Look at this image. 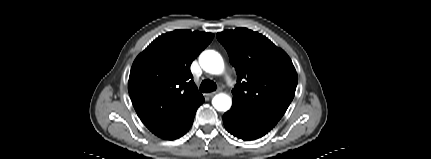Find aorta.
<instances>
[{
  "instance_id": "aorta-1",
  "label": "aorta",
  "mask_w": 431,
  "mask_h": 159,
  "mask_svg": "<svg viewBox=\"0 0 431 159\" xmlns=\"http://www.w3.org/2000/svg\"><path fill=\"white\" fill-rule=\"evenodd\" d=\"M199 63L203 70L210 74H221L224 71V61L221 55L214 50L203 51L199 56ZM212 105L217 111H228L232 105L230 96L220 93L212 99Z\"/></svg>"
}]
</instances>
